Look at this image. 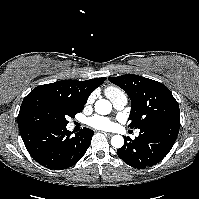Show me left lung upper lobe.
Returning <instances> with one entry per match:
<instances>
[{
  "mask_svg": "<svg viewBox=\"0 0 199 199\" xmlns=\"http://www.w3.org/2000/svg\"><path fill=\"white\" fill-rule=\"evenodd\" d=\"M108 79L131 98V128L144 129L162 121L180 120L179 105L162 83L133 74Z\"/></svg>",
  "mask_w": 199,
  "mask_h": 199,
  "instance_id": "5c2ea615",
  "label": "left lung upper lobe"
}]
</instances>
